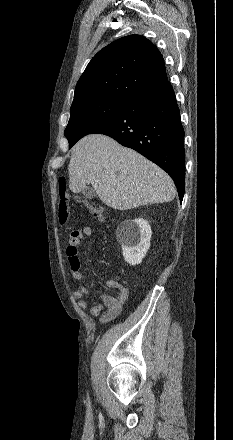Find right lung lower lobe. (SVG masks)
<instances>
[{"label":"right lung lower lobe","instance_id":"right-lung-lower-lobe-1","mask_svg":"<svg viewBox=\"0 0 233 440\" xmlns=\"http://www.w3.org/2000/svg\"><path fill=\"white\" fill-rule=\"evenodd\" d=\"M114 138L166 171L179 199L185 191L184 130L170 82L137 94L108 123L93 131Z\"/></svg>","mask_w":233,"mask_h":440}]
</instances>
